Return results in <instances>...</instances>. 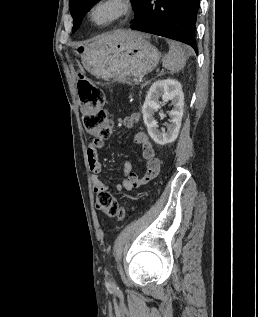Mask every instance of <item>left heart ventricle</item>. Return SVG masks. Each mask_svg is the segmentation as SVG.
Listing matches in <instances>:
<instances>
[{"label":"left heart ventricle","instance_id":"1","mask_svg":"<svg viewBox=\"0 0 258 317\" xmlns=\"http://www.w3.org/2000/svg\"><path fill=\"white\" fill-rule=\"evenodd\" d=\"M110 13H111V11L108 8H102V9L99 10V15L101 17H107V16L110 15Z\"/></svg>","mask_w":258,"mask_h":317}]
</instances>
